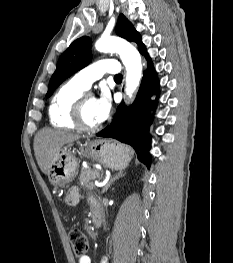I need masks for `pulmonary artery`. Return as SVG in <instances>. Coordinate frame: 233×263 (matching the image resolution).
Returning <instances> with one entry per match:
<instances>
[{
    "label": "pulmonary artery",
    "instance_id": "pulmonary-artery-1",
    "mask_svg": "<svg viewBox=\"0 0 233 263\" xmlns=\"http://www.w3.org/2000/svg\"><path fill=\"white\" fill-rule=\"evenodd\" d=\"M106 73L114 75L120 73V67L117 60H99L77 72L72 80L82 88L88 89L94 81L100 79Z\"/></svg>",
    "mask_w": 233,
    "mask_h": 263
}]
</instances>
